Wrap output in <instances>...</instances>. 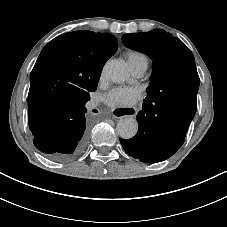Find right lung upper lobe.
Instances as JSON below:
<instances>
[{
  "mask_svg": "<svg viewBox=\"0 0 227 227\" xmlns=\"http://www.w3.org/2000/svg\"><path fill=\"white\" fill-rule=\"evenodd\" d=\"M117 47L114 35L93 31L65 33L44 47L30 75L28 116L33 136L51 127L66 103L96 90L101 69Z\"/></svg>",
  "mask_w": 227,
  "mask_h": 227,
  "instance_id": "obj_1",
  "label": "right lung upper lobe"
}]
</instances>
